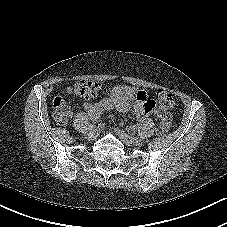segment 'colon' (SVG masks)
<instances>
[{"label":"colon","instance_id":"5ec220e1","mask_svg":"<svg viewBox=\"0 0 227 227\" xmlns=\"http://www.w3.org/2000/svg\"><path fill=\"white\" fill-rule=\"evenodd\" d=\"M100 88L101 84L99 82L80 81L77 82L73 87L69 88L67 92L74 96L90 99L97 96ZM156 103L163 110L173 109L176 105V101L173 96L163 90H160L156 93ZM52 116L55 122L59 125L67 123L71 116L70 101L62 95H57L53 99L52 103ZM171 124L172 118L168 113H166L160 121L159 131L161 133L167 132L170 129Z\"/></svg>","mask_w":227,"mask_h":227}]
</instances>
